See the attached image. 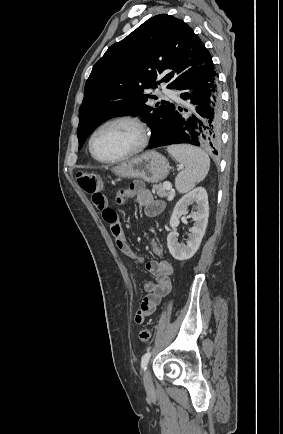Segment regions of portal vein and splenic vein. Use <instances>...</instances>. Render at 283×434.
<instances>
[{
    "instance_id": "obj_1",
    "label": "portal vein and splenic vein",
    "mask_w": 283,
    "mask_h": 434,
    "mask_svg": "<svg viewBox=\"0 0 283 434\" xmlns=\"http://www.w3.org/2000/svg\"><path fill=\"white\" fill-rule=\"evenodd\" d=\"M163 186L165 187V189L170 190L172 188V185L170 182H164Z\"/></svg>"
}]
</instances>
